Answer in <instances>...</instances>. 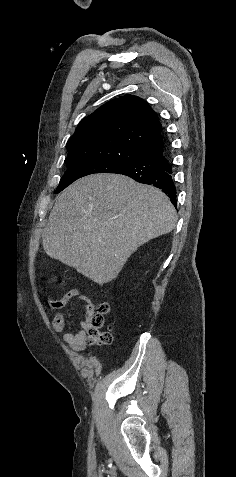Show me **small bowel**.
<instances>
[{
    "label": "small bowel",
    "mask_w": 236,
    "mask_h": 477,
    "mask_svg": "<svg viewBox=\"0 0 236 477\" xmlns=\"http://www.w3.org/2000/svg\"><path fill=\"white\" fill-rule=\"evenodd\" d=\"M75 297H78L84 304V318L76 326L77 332L65 333L63 335V340L74 350L80 351L85 348L87 333L90 328L89 319L95 314V304L89 297L81 295L77 289L68 291L59 299L51 300L49 304L51 308L56 311L53 319V329L57 332H61L64 328V316L60 310Z\"/></svg>",
    "instance_id": "obj_1"
}]
</instances>
